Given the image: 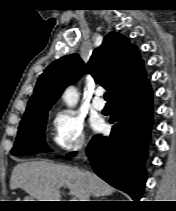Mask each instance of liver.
Returning <instances> with one entry per match:
<instances>
[{
	"mask_svg": "<svg viewBox=\"0 0 176 211\" xmlns=\"http://www.w3.org/2000/svg\"><path fill=\"white\" fill-rule=\"evenodd\" d=\"M62 187H67L77 201H84L87 191L94 197L114 192V188L92 172L47 160L20 163L11 174L10 189L21 188L36 201H61Z\"/></svg>",
	"mask_w": 176,
	"mask_h": 211,
	"instance_id": "liver-1",
	"label": "liver"
}]
</instances>
